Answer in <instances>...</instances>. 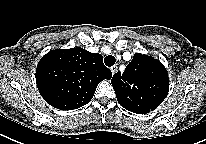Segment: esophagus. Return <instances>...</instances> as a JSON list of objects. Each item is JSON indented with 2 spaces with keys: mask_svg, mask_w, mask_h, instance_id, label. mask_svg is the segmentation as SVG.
Returning a JSON list of instances; mask_svg holds the SVG:
<instances>
[{
  "mask_svg": "<svg viewBox=\"0 0 206 144\" xmlns=\"http://www.w3.org/2000/svg\"><path fill=\"white\" fill-rule=\"evenodd\" d=\"M110 69H111L112 74L114 75L117 72L118 67L117 65H113Z\"/></svg>",
  "mask_w": 206,
  "mask_h": 144,
  "instance_id": "esophagus-1",
  "label": "esophagus"
}]
</instances>
